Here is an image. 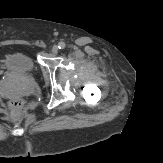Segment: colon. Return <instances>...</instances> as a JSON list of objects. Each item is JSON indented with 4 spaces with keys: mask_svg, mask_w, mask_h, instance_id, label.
I'll use <instances>...</instances> for the list:
<instances>
[{
    "mask_svg": "<svg viewBox=\"0 0 163 163\" xmlns=\"http://www.w3.org/2000/svg\"><path fill=\"white\" fill-rule=\"evenodd\" d=\"M10 107L15 110V111H18L21 109L22 107V102L21 100L19 99H13L11 102H10Z\"/></svg>",
    "mask_w": 163,
    "mask_h": 163,
    "instance_id": "1",
    "label": "colon"
}]
</instances>
